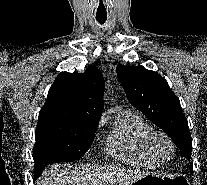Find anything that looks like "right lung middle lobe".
Segmentation results:
<instances>
[{
  "label": "right lung middle lobe",
  "mask_w": 207,
  "mask_h": 185,
  "mask_svg": "<svg viewBox=\"0 0 207 185\" xmlns=\"http://www.w3.org/2000/svg\"><path fill=\"white\" fill-rule=\"evenodd\" d=\"M97 126L64 119H39L33 149L35 176L44 166L80 159L93 143Z\"/></svg>",
  "instance_id": "right-lung-middle-lobe-1"
}]
</instances>
